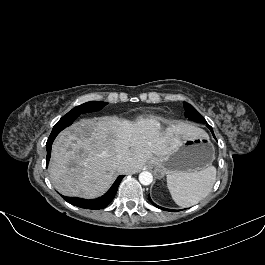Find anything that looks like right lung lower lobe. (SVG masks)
Masks as SVG:
<instances>
[{"label": "right lung lower lobe", "mask_w": 265, "mask_h": 265, "mask_svg": "<svg viewBox=\"0 0 265 265\" xmlns=\"http://www.w3.org/2000/svg\"><path fill=\"white\" fill-rule=\"evenodd\" d=\"M75 120V119H74ZM74 120L69 121L68 123H65L63 125H55L48 140L46 143V148H47V157H46V165H48L50 156H51V147L54 139L56 136L59 134L60 131H62L64 128L67 126L71 125ZM123 175L118 176L114 184L111 186V188L101 197L96 198V199H82V198H77V197H67V196H62L64 200L69 202L72 205H75L80 208H85V209H103L105 208L114 198L118 186L123 179Z\"/></svg>", "instance_id": "right-lung-lower-lobe-1"}]
</instances>
